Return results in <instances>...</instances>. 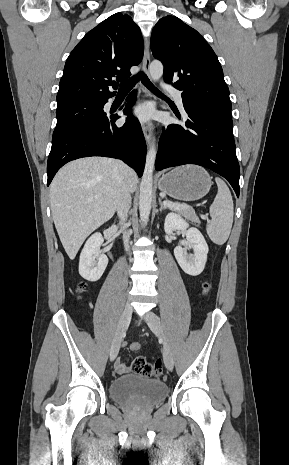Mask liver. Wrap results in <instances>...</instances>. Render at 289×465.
<instances>
[{"instance_id":"obj_1","label":"liver","mask_w":289,"mask_h":465,"mask_svg":"<svg viewBox=\"0 0 289 465\" xmlns=\"http://www.w3.org/2000/svg\"><path fill=\"white\" fill-rule=\"evenodd\" d=\"M120 170L115 160L86 157L63 166L50 185V207L61 243L73 260L85 239L116 210ZM124 177L134 192L138 178L126 166Z\"/></svg>"}]
</instances>
